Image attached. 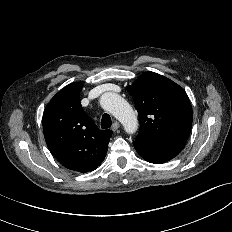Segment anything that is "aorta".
<instances>
[{"instance_id": "aorta-1", "label": "aorta", "mask_w": 232, "mask_h": 232, "mask_svg": "<svg viewBox=\"0 0 232 232\" xmlns=\"http://www.w3.org/2000/svg\"><path fill=\"white\" fill-rule=\"evenodd\" d=\"M102 108L110 112L124 126L128 134H133L138 128L137 117L130 104L114 92H106L100 98Z\"/></svg>"}]
</instances>
